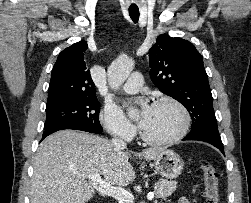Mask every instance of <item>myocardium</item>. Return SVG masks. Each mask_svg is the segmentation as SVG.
<instances>
[{
  "mask_svg": "<svg viewBox=\"0 0 251 203\" xmlns=\"http://www.w3.org/2000/svg\"><path fill=\"white\" fill-rule=\"evenodd\" d=\"M164 104L173 105L180 111V113L182 115V125H181L179 131L175 135H173L169 138H166V139L150 138L141 129L140 130V137L145 143H147L149 145L165 146V145L174 144V143L180 141L181 139H183L186 136V134L188 133V130L190 128L191 116H190L188 109L186 108V106L183 103H181L180 101H178L177 99L172 98V97H164V98H160V99H157L156 101H154L152 106H159V105H164Z\"/></svg>",
  "mask_w": 251,
  "mask_h": 203,
  "instance_id": "f54148a6",
  "label": "myocardium"
}]
</instances>
